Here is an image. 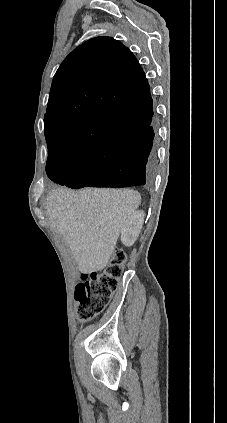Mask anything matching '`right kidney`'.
Masks as SVG:
<instances>
[{"mask_svg": "<svg viewBox=\"0 0 227 423\" xmlns=\"http://www.w3.org/2000/svg\"><path fill=\"white\" fill-rule=\"evenodd\" d=\"M144 215L145 213L143 210H136L132 211L131 215L126 219L121 229V241L124 245H127V247L133 245L136 239H138L144 223Z\"/></svg>", "mask_w": 227, "mask_h": 423, "instance_id": "right-kidney-1", "label": "right kidney"}]
</instances>
